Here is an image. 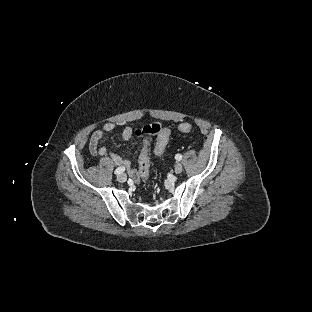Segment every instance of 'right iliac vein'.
<instances>
[{"label": "right iliac vein", "instance_id": "right-iliac-vein-1", "mask_svg": "<svg viewBox=\"0 0 312 312\" xmlns=\"http://www.w3.org/2000/svg\"><path fill=\"white\" fill-rule=\"evenodd\" d=\"M126 179H127V176H126V174H124V173L120 174V175L117 177V180H118L120 183L125 182Z\"/></svg>", "mask_w": 312, "mask_h": 312}]
</instances>
